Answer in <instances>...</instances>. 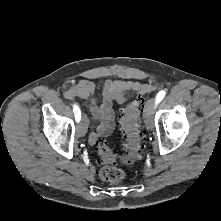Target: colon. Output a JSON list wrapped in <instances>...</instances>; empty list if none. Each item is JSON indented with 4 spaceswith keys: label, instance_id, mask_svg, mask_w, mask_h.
I'll list each match as a JSON object with an SVG mask.
<instances>
[{
    "label": "colon",
    "instance_id": "colon-1",
    "mask_svg": "<svg viewBox=\"0 0 221 221\" xmlns=\"http://www.w3.org/2000/svg\"><path fill=\"white\" fill-rule=\"evenodd\" d=\"M143 104V98L137 97L124 110L120 122L123 132L121 155H117L109 149L104 140L100 139L97 142L100 162L102 164L99 175L102 180L110 183L122 181L125 177V172L116 166L117 160L119 159L123 163L130 164L141 157L144 147V135L141 129Z\"/></svg>",
    "mask_w": 221,
    "mask_h": 221
}]
</instances>
